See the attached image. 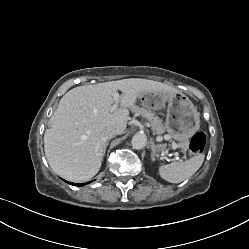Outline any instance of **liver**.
I'll use <instances>...</instances> for the list:
<instances>
[{
	"mask_svg": "<svg viewBox=\"0 0 249 249\" xmlns=\"http://www.w3.org/2000/svg\"><path fill=\"white\" fill-rule=\"evenodd\" d=\"M120 90V108L112 110L114 94ZM176 93L177 89L153 80L129 78L84 85L71 89L60 100L44 134L47 161L54 172L69 181H87L102 163L104 128L122 134L130 119L128 108L142 92Z\"/></svg>",
	"mask_w": 249,
	"mask_h": 249,
	"instance_id": "liver-1",
	"label": "liver"
}]
</instances>
